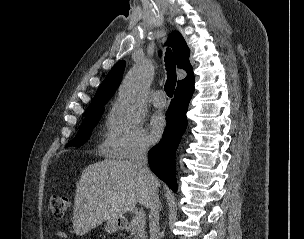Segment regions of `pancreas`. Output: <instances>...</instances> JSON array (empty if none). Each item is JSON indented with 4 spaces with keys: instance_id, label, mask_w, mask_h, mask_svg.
Masks as SVG:
<instances>
[{
    "instance_id": "obj_1",
    "label": "pancreas",
    "mask_w": 304,
    "mask_h": 239,
    "mask_svg": "<svg viewBox=\"0 0 304 239\" xmlns=\"http://www.w3.org/2000/svg\"><path fill=\"white\" fill-rule=\"evenodd\" d=\"M130 237L132 239H146L145 222L134 221L129 223Z\"/></svg>"
}]
</instances>
